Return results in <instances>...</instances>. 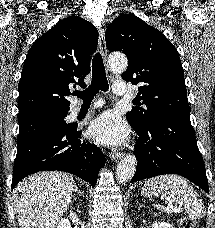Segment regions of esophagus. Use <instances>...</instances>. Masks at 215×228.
Here are the masks:
<instances>
[{
	"mask_svg": "<svg viewBox=\"0 0 215 228\" xmlns=\"http://www.w3.org/2000/svg\"><path fill=\"white\" fill-rule=\"evenodd\" d=\"M99 48H100V53L102 55V58L104 60V62H106V58H107V48H106V41H105V30L104 28L100 27L99 28ZM105 67H106V73L108 75V77H111V72L109 67L106 65L105 63ZM123 154L122 153H115L112 158L113 159H120L122 158Z\"/></svg>",
	"mask_w": 215,
	"mask_h": 228,
	"instance_id": "1",
	"label": "esophagus"
}]
</instances>
